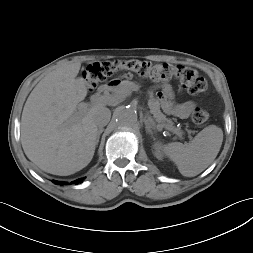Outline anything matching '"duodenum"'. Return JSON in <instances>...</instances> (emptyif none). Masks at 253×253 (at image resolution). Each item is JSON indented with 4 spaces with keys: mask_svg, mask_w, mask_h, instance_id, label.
Listing matches in <instances>:
<instances>
[{
    "mask_svg": "<svg viewBox=\"0 0 253 253\" xmlns=\"http://www.w3.org/2000/svg\"><path fill=\"white\" fill-rule=\"evenodd\" d=\"M116 85L115 82H110L108 84H104L98 88L97 94H103L106 92L110 87Z\"/></svg>",
    "mask_w": 253,
    "mask_h": 253,
    "instance_id": "duodenum-1",
    "label": "duodenum"
}]
</instances>
